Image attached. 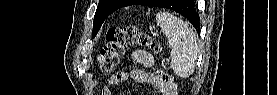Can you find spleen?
Here are the masks:
<instances>
[{
    "label": "spleen",
    "mask_w": 277,
    "mask_h": 95,
    "mask_svg": "<svg viewBox=\"0 0 277 95\" xmlns=\"http://www.w3.org/2000/svg\"><path fill=\"white\" fill-rule=\"evenodd\" d=\"M157 25L165 34L171 51V67L181 78L194 72L198 55V44L194 31L181 19L168 12L156 15Z\"/></svg>",
    "instance_id": "3e777b00"
}]
</instances>
